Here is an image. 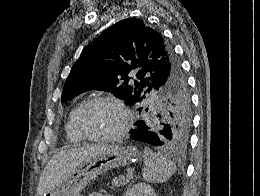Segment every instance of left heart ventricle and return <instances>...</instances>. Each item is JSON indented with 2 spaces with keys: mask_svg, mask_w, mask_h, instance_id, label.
Instances as JSON below:
<instances>
[{
  "mask_svg": "<svg viewBox=\"0 0 260 196\" xmlns=\"http://www.w3.org/2000/svg\"><path fill=\"white\" fill-rule=\"evenodd\" d=\"M82 125L91 135H106L122 125V114L109 103L100 102L89 107L82 116Z\"/></svg>",
  "mask_w": 260,
  "mask_h": 196,
  "instance_id": "obj_1",
  "label": "left heart ventricle"
}]
</instances>
